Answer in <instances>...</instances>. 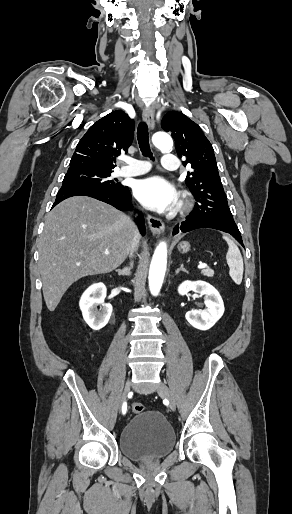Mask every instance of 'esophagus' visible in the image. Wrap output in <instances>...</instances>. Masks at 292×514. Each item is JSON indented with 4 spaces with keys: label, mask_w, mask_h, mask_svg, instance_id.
<instances>
[{
    "label": "esophagus",
    "mask_w": 292,
    "mask_h": 514,
    "mask_svg": "<svg viewBox=\"0 0 292 514\" xmlns=\"http://www.w3.org/2000/svg\"><path fill=\"white\" fill-rule=\"evenodd\" d=\"M142 117L144 122L153 129L155 125L154 110L152 107H147L143 110ZM148 226L154 235H160L164 232L165 226L161 219L157 217L147 216Z\"/></svg>",
    "instance_id": "1"
}]
</instances>
